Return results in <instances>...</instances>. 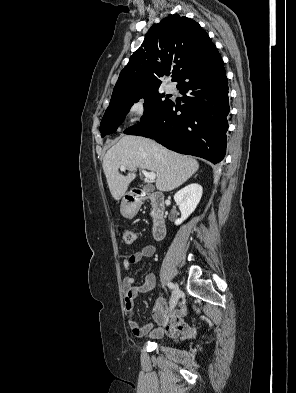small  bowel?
<instances>
[{
  "label": "small bowel",
  "mask_w": 296,
  "mask_h": 393,
  "mask_svg": "<svg viewBox=\"0 0 296 393\" xmlns=\"http://www.w3.org/2000/svg\"><path fill=\"white\" fill-rule=\"evenodd\" d=\"M156 253L155 245H146L140 250L128 256L123 262V270L129 273L131 265L140 262L145 258L152 257ZM155 284V276L149 273L145 276L142 284H136L132 276L127 275L124 278V306L129 314L128 324L135 336L149 335L153 338H160L164 334L176 336L186 333L190 329V325L184 321L186 308L181 305L178 309L170 308L166 300L158 297L152 310V316L157 326L148 323L145 325L138 324L134 319V299L139 293H146L153 289Z\"/></svg>",
  "instance_id": "c3829d8e"
}]
</instances>
